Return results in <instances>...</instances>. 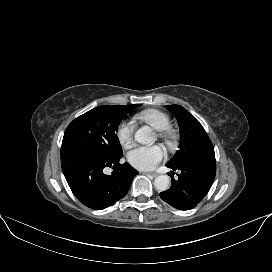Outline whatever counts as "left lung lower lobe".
I'll use <instances>...</instances> for the list:
<instances>
[{
  "label": "left lung lower lobe",
  "mask_w": 272,
  "mask_h": 272,
  "mask_svg": "<svg viewBox=\"0 0 272 272\" xmlns=\"http://www.w3.org/2000/svg\"><path fill=\"white\" fill-rule=\"evenodd\" d=\"M181 171L178 180L172 178L170 189L161 192L160 197L180 210L194 208L208 193L216 174V160L213 151L204 152L183 161L177 166H168Z\"/></svg>",
  "instance_id": "1"
}]
</instances>
